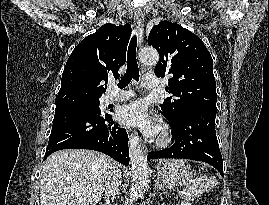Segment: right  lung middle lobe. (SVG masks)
<instances>
[{"label": "right lung middle lobe", "mask_w": 269, "mask_h": 205, "mask_svg": "<svg viewBox=\"0 0 269 205\" xmlns=\"http://www.w3.org/2000/svg\"><path fill=\"white\" fill-rule=\"evenodd\" d=\"M77 110L92 111V112L101 114V111L99 108V101L58 107L55 109V112L77 111Z\"/></svg>", "instance_id": "dd1d6c3e"}]
</instances>
